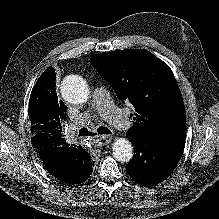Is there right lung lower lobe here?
Returning a JSON list of instances; mask_svg holds the SVG:
<instances>
[{"mask_svg": "<svg viewBox=\"0 0 219 219\" xmlns=\"http://www.w3.org/2000/svg\"><path fill=\"white\" fill-rule=\"evenodd\" d=\"M45 149V148H43ZM42 149V150H43ZM86 152L82 147L76 148L74 145L72 146H65L64 148H57L54 147L50 150L49 153H46L44 155V158L47 160H50L54 157H57L58 155L64 153L63 155L66 157L67 161L70 163L71 169L73 170L71 177H62L57 175L52 168V166L45 165L47 170L57 179L69 183V184H78L85 181L87 178L90 177L93 169H92V162L90 160V157H86L84 155ZM63 156V157H64ZM43 159V157H41ZM44 163V162H43Z\"/></svg>", "mask_w": 219, "mask_h": 219, "instance_id": "obj_1", "label": "right lung lower lobe"}]
</instances>
